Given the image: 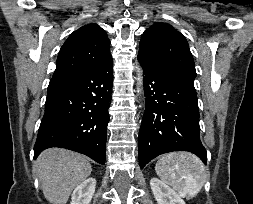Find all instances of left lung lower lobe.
<instances>
[{"label":"left lung lower lobe","mask_w":253,"mask_h":204,"mask_svg":"<svg viewBox=\"0 0 253 204\" xmlns=\"http://www.w3.org/2000/svg\"><path fill=\"white\" fill-rule=\"evenodd\" d=\"M138 60L143 67L146 97L138 138L140 167L172 151L192 152L206 164L194 83Z\"/></svg>","instance_id":"0a47b994"}]
</instances>
